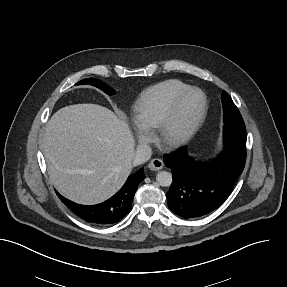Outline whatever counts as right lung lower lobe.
<instances>
[{
  "mask_svg": "<svg viewBox=\"0 0 287 287\" xmlns=\"http://www.w3.org/2000/svg\"><path fill=\"white\" fill-rule=\"evenodd\" d=\"M144 178L143 168H141L129 176L124 186L113 197L98 205H80L60 194L58 196L81 219L99 225H109L119 222L130 212L135 192Z\"/></svg>",
  "mask_w": 287,
  "mask_h": 287,
  "instance_id": "obj_1",
  "label": "right lung lower lobe"
}]
</instances>
